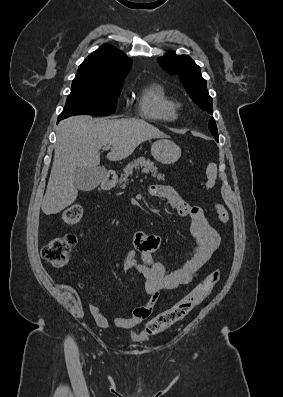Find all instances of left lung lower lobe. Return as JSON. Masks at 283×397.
<instances>
[{
    "mask_svg": "<svg viewBox=\"0 0 283 397\" xmlns=\"http://www.w3.org/2000/svg\"><path fill=\"white\" fill-rule=\"evenodd\" d=\"M215 140L218 142V138H215Z\"/></svg>",
    "mask_w": 283,
    "mask_h": 397,
    "instance_id": "0a47b994",
    "label": "left lung lower lobe"
}]
</instances>
